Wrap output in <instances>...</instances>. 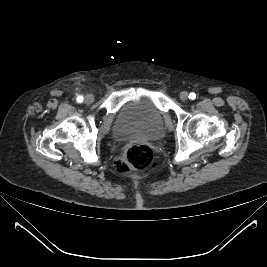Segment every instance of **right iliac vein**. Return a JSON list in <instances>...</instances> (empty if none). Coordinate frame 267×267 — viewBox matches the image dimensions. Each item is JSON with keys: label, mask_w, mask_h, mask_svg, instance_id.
Masks as SVG:
<instances>
[{"label": "right iliac vein", "mask_w": 267, "mask_h": 267, "mask_svg": "<svg viewBox=\"0 0 267 267\" xmlns=\"http://www.w3.org/2000/svg\"><path fill=\"white\" fill-rule=\"evenodd\" d=\"M94 101V96L91 94H87L84 98V102L87 104H91Z\"/></svg>", "instance_id": "63e3f726"}]
</instances>
